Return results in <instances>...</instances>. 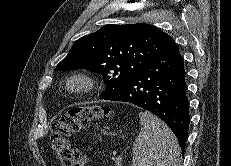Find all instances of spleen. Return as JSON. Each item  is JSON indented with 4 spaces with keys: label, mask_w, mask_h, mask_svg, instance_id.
<instances>
[{
    "label": "spleen",
    "mask_w": 231,
    "mask_h": 166,
    "mask_svg": "<svg viewBox=\"0 0 231 166\" xmlns=\"http://www.w3.org/2000/svg\"><path fill=\"white\" fill-rule=\"evenodd\" d=\"M139 118L132 166H180L181 149L171 129L150 112H140Z\"/></svg>",
    "instance_id": "spleen-1"
}]
</instances>
